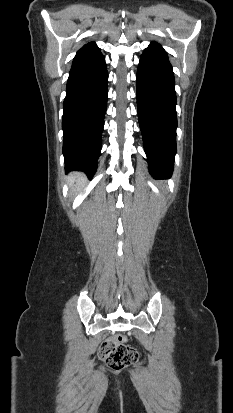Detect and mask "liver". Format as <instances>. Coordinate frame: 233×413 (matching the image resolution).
Here are the masks:
<instances>
[{"mask_svg":"<svg viewBox=\"0 0 233 413\" xmlns=\"http://www.w3.org/2000/svg\"><path fill=\"white\" fill-rule=\"evenodd\" d=\"M69 182H70V186H73L74 183L76 182V185H75L76 192L81 191L84 188L85 184H86V180H85L83 174H81V173L71 174L69 176Z\"/></svg>","mask_w":233,"mask_h":413,"instance_id":"obj_1","label":"liver"}]
</instances>
